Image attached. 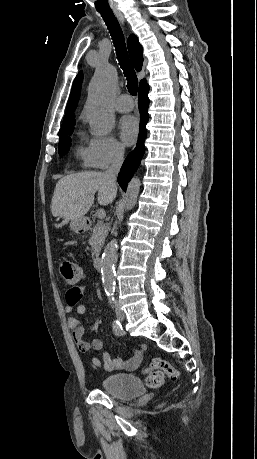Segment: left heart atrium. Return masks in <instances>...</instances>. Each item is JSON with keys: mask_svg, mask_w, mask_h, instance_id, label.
<instances>
[{"mask_svg": "<svg viewBox=\"0 0 257 459\" xmlns=\"http://www.w3.org/2000/svg\"><path fill=\"white\" fill-rule=\"evenodd\" d=\"M120 136L126 145L135 142L139 132V122L134 116H124L119 122Z\"/></svg>", "mask_w": 257, "mask_h": 459, "instance_id": "left-heart-atrium-1", "label": "left heart atrium"}]
</instances>
